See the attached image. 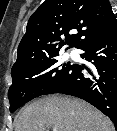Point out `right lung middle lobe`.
Segmentation results:
<instances>
[{"mask_svg": "<svg viewBox=\"0 0 117 131\" xmlns=\"http://www.w3.org/2000/svg\"><path fill=\"white\" fill-rule=\"evenodd\" d=\"M58 53H50L37 62L11 71L10 112L36 97L49 94L62 84L72 65L58 61L55 58Z\"/></svg>", "mask_w": 117, "mask_h": 131, "instance_id": "1", "label": "right lung middle lobe"}]
</instances>
